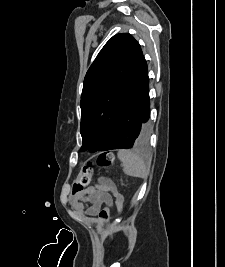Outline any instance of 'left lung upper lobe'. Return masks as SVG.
I'll list each match as a JSON object with an SVG mask.
<instances>
[{
    "label": "left lung upper lobe",
    "mask_w": 225,
    "mask_h": 267,
    "mask_svg": "<svg viewBox=\"0 0 225 267\" xmlns=\"http://www.w3.org/2000/svg\"><path fill=\"white\" fill-rule=\"evenodd\" d=\"M142 55L139 43L130 34H117L104 45L88 69L80 103L82 151L101 150L110 140L127 87ZM149 131L148 122L141 127L134 147L145 144Z\"/></svg>",
    "instance_id": "obj_1"
}]
</instances>
